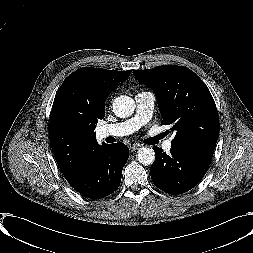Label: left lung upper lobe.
I'll list each match as a JSON object with an SVG mask.
<instances>
[{
  "label": "left lung upper lobe",
  "instance_id": "1",
  "mask_svg": "<svg viewBox=\"0 0 253 253\" xmlns=\"http://www.w3.org/2000/svg\"><path fill=\"white\" fill-rule=\"evenodd\" d=\"M138 81L154 90L163 117L172 125L174 145L215 149L219 116L213 97L204 82L190 69L174 65L134 70Z\"/></svg>",
  "mask_w": 253,
  "mask_h": 253
}]
</instances>
